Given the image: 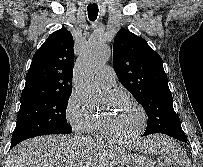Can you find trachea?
<instances>
[{
	"label": "trachea",
	"mask_w": 203,
	"mask_h": 167,
	"mask_svg": "<svg viewBox=\"0 0 203 167\" xmlns=\"http://www.w3.org/2000/svg\"><path fill=\"white\" fill-rule=\"evenodd\" d=\"M88 17L90 21H95L98 16V6L96 4H89L87 7Z\"/></svg>",
	"instance_id": "3493384b"
}]
</instances>
